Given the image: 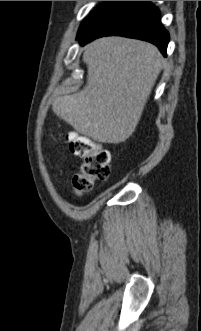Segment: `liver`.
I'll list each match as a JSON object with an SVG mask.
<instances>
[{"instance_id":"6515ba94","label":"liver","mask_w":201,"mask_h":331,"mask_svg":"<svg viewBox=\"0 0 201 331\" xmlns=\"http://www.w3.org/2000/svg\"><path fill=\"white\" fill-rule=\"evenodd\" d=\"M87 84L53 99V112L80 134L118 144L135 131L161 71L158 49L141 40L111 36L84 48Z\"/></svg>"}]
</instances>
